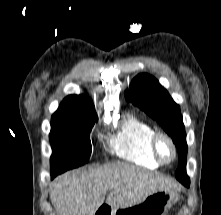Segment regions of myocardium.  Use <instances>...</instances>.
Listing matches in <instances>:
<instances>
[{
  "mask_svg": "<svg viewBox=\"0 0 221 215\" xmlns=\"http://www.w3.org/2000/svg\"><path fill=\"white\" fill-rule=\"evenodd\" d=\"M166 146L168 153L165 154L162 147ZM151 151L155 160L160 164H170L176 157V148L172 139L165 133H155L151 139Z\"/></svg>",
  "mask_w": 221,
  "mask_h": 215,
  "instance_id": "myocardium-1",
  "label": "myocardium"
}]
</instances>
